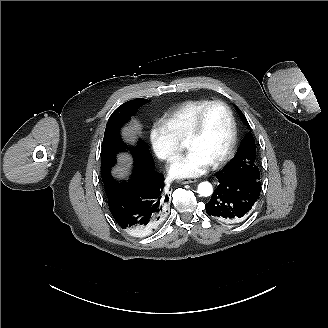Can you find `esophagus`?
<instances>
[{
	"mask_svg": "<svg viewBox=\"0 0 328 328\" xmlns=\"http://www.w3.org/2000/svg\"><path fill=\"white\" fill-rule=\"evenodd\" d=\"M197 180L195 178H180L176 180L178 184H187V183H195Z\"/></svg>",
	"mask_w": 328,
	"mask_h": 328,
	"instance_id": "34e87169",
	"label": "esophagus"
}]
</instances>
